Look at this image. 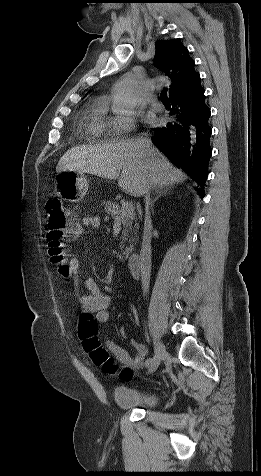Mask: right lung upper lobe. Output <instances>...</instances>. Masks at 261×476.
<instances>
[{
    "label": "right lung upper lobe",
    "instance_id": "obj_1",
    "mask_svg": "<svg viewBox=\"0 0 261 476\" xmlns=\"http://www.w3.org/2000/svg\"><path fill=\"white\" fill-rule=\"evenodd\" d=\"M155 46L156 66L172 81L169 97H174L190 88L199 75L195 72L194 61L184 45L178 39H174L158 41Z\"/></svg>",
    "mask_w": 261,
    "mask_h": 476
}]
</instances>
